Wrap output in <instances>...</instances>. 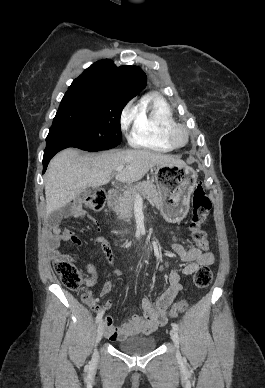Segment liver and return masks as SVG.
I'll list each match as a JSON object with an SVG mask.
<instances>
[{
  "label": "liver",
  "instance_id": "obj_1",
  "mask_svg": "<svg viewBox=\"0 0 265 388\" xmlns=\"http://www.w3.org/2000/svg\"><path fill=\"white\" fill-rule=\"evenodd\" d=\"M118 166H126L117 172L115 180L124 184L139 182L154 166H186L183 160H175L150 150H123L105 152L97 156H79L74 148L59 152L51 160L45 180L46 216L67 206L85 188L105 186ZM133 170H127V168Z\"/></svg>",
  "mask_w": 265,
  "mask_h": 388
}]
</instances>
